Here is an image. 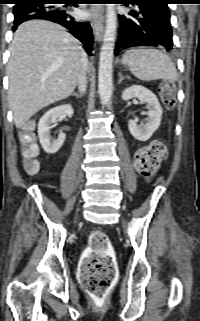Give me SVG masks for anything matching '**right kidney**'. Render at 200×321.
Returning a JSON list of instances; mask_svg holds the SVG:
<instances>
[{"label": "right kidney", "instance_id": "1", "mask_svg": "<svg viewBox=\"0 0 200 321\" xmlns=\"http://www.w3.org/2000/svg\"><path fill=\"white\" fill-rule=\"evenodd\" d=\"M62 115L73 116V108L70 104L61 105L48 110L39 120L38 136L44 151L48 154L56 153L64 143L66 135L60 133L57 139H51V124L57 122Z\"/></svg>", "mask_w": 200, "mask_h": 321}]
</instances>
